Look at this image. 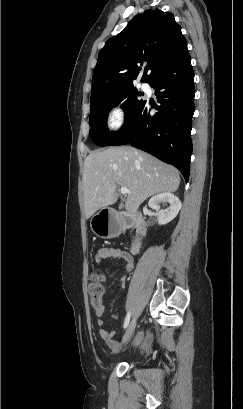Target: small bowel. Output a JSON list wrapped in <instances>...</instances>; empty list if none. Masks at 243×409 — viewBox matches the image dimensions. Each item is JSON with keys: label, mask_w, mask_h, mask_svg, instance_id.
Instances as JSON below:
<instances>
[{"label": "small bowel", "mask_w": 243, "mask_h": 409, "mask_svg": "<svg viewBox=\"0 0 243 409\" xmlns=\"http://www.w3.org/2000/svg\"><path fill=\"white\" fill-rule=\"evenodd\" d=\"M106 259H115L123 262L124 269L129 272L133 269V260L132 257L126 252L119 248L114 247H103L100 248L95 256L94 262L99 265L103 260ZM126 277H121V282L124 283ZM104 306L102 305L95 310V320L96 324L100 327V336L107 343L111 351H117L119 349V344L114 340V331H108L103 328L104 326ZM154 345V338L152 335H148L145 339L142 333L137 334L135 338V348L139 352H147L152 349Z\"/></svg>", "instance_id": "small-bowel-1"}]
</instances>
